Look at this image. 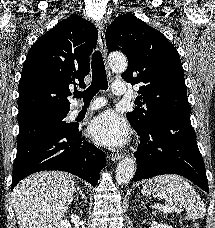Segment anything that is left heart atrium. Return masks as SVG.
Returning <instances> with one entry per match:
<instances>
[{
  "label": "left heart atrium",
  "instance_id": "39dd6f15",
  "mask_svg": "<svg viewBox=\"0 0 215 228\" xmlns=\"http://www.w3.org/2000/svg\"><path fill=\"white\" fill-rule=\"evenodd\" d=\"M88 132L94 142L109 147H122L130 139L127 121L112 110L96 116L90 122Z\"/></svg>",
  "mask_w": 215,
  "mask_h": 228
}]
</instances>
